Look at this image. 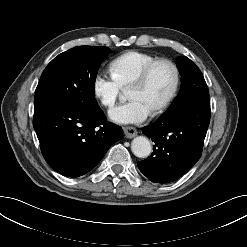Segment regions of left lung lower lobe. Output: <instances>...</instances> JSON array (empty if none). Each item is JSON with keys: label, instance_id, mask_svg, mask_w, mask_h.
<instances>
[{"label": "left lung lower lobe", "instance_id": "obj_1", "mask_svg": "<svg viewBox=\"0 0 247 247\" xmlns=\"http://www.w3.org/2000/svg\"><path fill=\"white\" fill-rule=\"evenodd\" d=\"M210 114L209 97H199L181 110H167L143 127V134L155 144L153 153L137 163L140 171L155 183L183 176L201 157Z\"/></svg>", "mask_w": 247, "mask_h": 247}]
</instances>
